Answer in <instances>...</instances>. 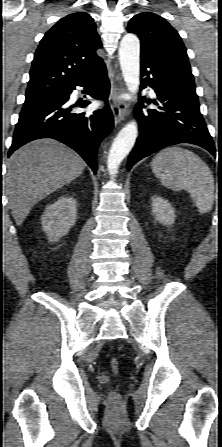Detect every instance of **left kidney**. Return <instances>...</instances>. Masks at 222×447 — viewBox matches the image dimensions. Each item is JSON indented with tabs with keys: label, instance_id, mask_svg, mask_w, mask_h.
I'll list each match as a JSON object with an SVG mask.
<instances>
[{
	"label": "left kidney",
	"instance_id": "1",
	"mask_svg": "<svg viewBox=\"0 0 222 447\" xmlns=\"http://www.w3.org/2000/svg\"><path fill=\"white\" fill-rule=\"evenodd\" d=\"M152 212L156 220L163 225H172L175 221V211L172 205L159 196L152 197Z\"/></svg>",
	"mask_w": 222,
	"mask_h": 447
}]
</instances>
